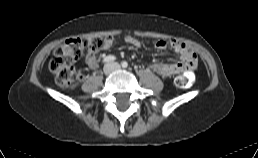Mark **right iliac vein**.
<instances>
[{"label":"right iliac vein","instance_id":"1","mask_svg":"<svg viewBox=\"0 0 258 158\" xmlns=\"http://www.w3.org/2000/svg\"><path fill=\"white\" fill-rule=\"evenodd\" d=\"M113 71V66L112 64H106L103 68V73L108 76L109 74H111V72Z\"/></svg>","mask_w":258,"mask_h":158}]
</instances>
